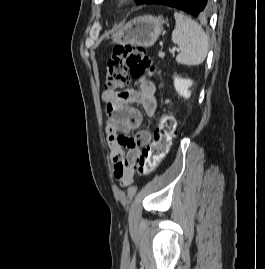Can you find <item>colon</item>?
Listing matches in <instances>:
<instances>
[{
	"mask_svg": "<svg viewBox=\"0 0 265 269\" xmlns=\"http://www.w3.org/2000/svg\"><path fill=\"white\" fill-rule=\"evenodd\" d=\"M156 71L152 59L143 47L124 44L114 48L108 59L105 86L117 91L124 88L129 81V74L134 77L150 76ZM176 122L168 113L158 117L153 139L138 157L135 170L139 175L151 173L167 154L175 133Z\"/></svg>",
	"mask_w": 265,
	"mask_h": 269,
	"instance_id": "colon-1",
	"label": "colon"
}]
</instances>
